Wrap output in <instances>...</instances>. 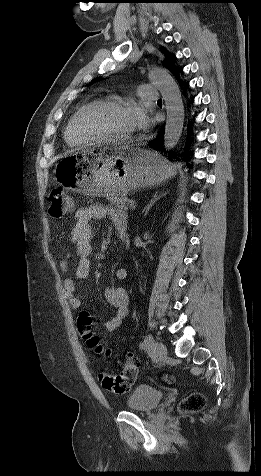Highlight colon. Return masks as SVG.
Here are the masks:
<instances>
[{"label":"colon","instance_id":"colon-1","mask_svg":"<svg viewBox=\"0 0 261 476\" xmlns=\"http://www.w3.org/2000/svg\"><path fill=\"white\" fill-rule=\"evenodd\" d=\"M49 211L53 217L61 218L74 210L73 198L68 195L65 187H54L49 195ZM78 331L85 340L87 346L97 353H103L104 348L99 338L92 332V318L89 313L82 312L77 321ZM139 371V361L133 355H128L125 359L122 370L118 374L102 372L98 378L104 389L115 394H123L129 391L135 382ZM205 405L204 397L199 393H192L187 396L180 405L182 411L195 412Z\"/></svg>","mask_w":261,"mask_h":476}]
</instances>
